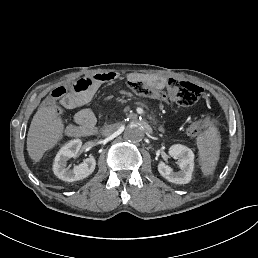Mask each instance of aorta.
Listing matches in <instances>:
<instances>
[{"label":"aorta","instance_id":"obj_1","mask_svg":"<svg viewBox=\"0 0 258 258\" xmlns=\"http://www.w3.org/2000/svg\"><path fill=\"white\" fill-rule=\"evenodd\" d=\"M124 136L129 142H140L144 137V130L140 124L132 122L126 126Z\"/></svg>","mask_w":258,"mask_h":258}]
</instances>
